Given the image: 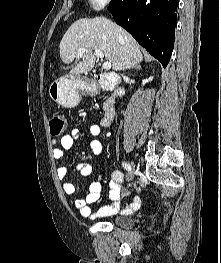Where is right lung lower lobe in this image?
<instances>
[{
  "mask_svg": "<svg viewBox=\"0 0 221 263\" xmlns=\"http://www.w3.org/2000/svg\"><path fill=\"white\" fill-rule=\"evenodd\" d=\"M178 4L179 0H111L108 10L165 68L174 47Z\"/></svg>",
  "mask_w": 221,
  "mask_h": 263,
  "instance_id": "98d812e1",
  "label": "right lung lower lobe"
}]
</instances>
